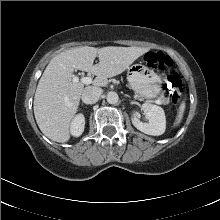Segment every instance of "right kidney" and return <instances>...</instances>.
<instances>
[{
  "label": "right kidney",
  "instance_id": "right-kidney-1",
  "mask_svg": "<svg viewBox=\"0 0 220 220\" xmlns=\"http://www.w3.org/2000/svg\"><path fill=\"white\" fill-rule=\"evenodd\" d=\"M85 118L83 114H78L73 119L70 127V132L74 137L80 136L84 131Z\"/></svg>",
  "mask_w": 220,
  "mask_h": 220
}]
</instances>
